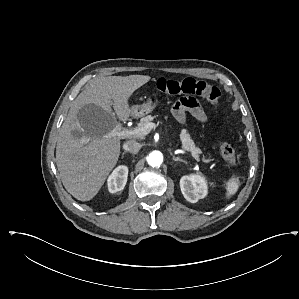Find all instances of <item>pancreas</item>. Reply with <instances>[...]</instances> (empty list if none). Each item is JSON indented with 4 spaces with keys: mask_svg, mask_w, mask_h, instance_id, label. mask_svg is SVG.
Masks as SVG:
<instances>
[{
    "mask_svg": "<svg viewBox=\"0 0 299 299\" xmlns=\"http://www.w3.org/2000/svg\"><path fill=\"white\" fill-rule=\"evenodd\" d=\"M155 117L148 115L146 117H143L140 122L138 123V127L137 128H143L145 127L148 123H151L153 121ZM138 138H142L143 136H137ZM180 140L182 143V147L187 150L190 151L192 153V155H194L195 157H198V154L201 153V150L195 146L194 141L191 139L190 134L183 129L181 131L180 134Z\"/></svg>",
    "mask_w": 299,
    "mask_h": 299,
    "instance_id": "obj_1",
    "label": "pancreas"
}]
</instances>
